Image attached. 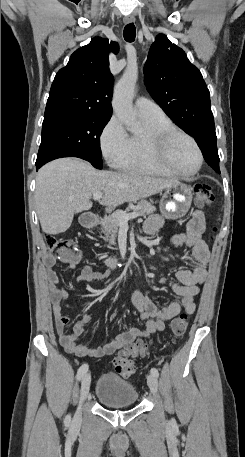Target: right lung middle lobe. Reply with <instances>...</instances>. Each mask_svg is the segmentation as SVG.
I'll return each instance as SVG.
<instances>
[{
  "label": "right lung middle lobe",
  "instance_id": "obj_1",
  "mask_svg": "<svg viewBox=\"0 0 245 457\" xmlns=\"http://www.w3.org/2000/svg\"><path fill=\"white\" fill-rule=\"evenodd\" d=\"M111 115L91 111L45 113L36 166L60 157H79L102 168L100 135Z\"/></svg>",
  "mask_w": 245,
  "mask_h": 457
}]
</instances>
